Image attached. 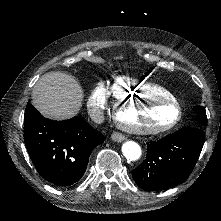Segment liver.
Instances as JSON below:
<instances>
[{"label":"liver","mask_w":221,"mask_h":221,"mask_svg":"<svg viewBox=\"0 0 221 221\" xmlns=\"http://www.w3.org/2000/svg\"><path fill=\"white\" fill-rule=\"evenodd\" d=\"M83 99L79 82L71 75L58 71L42 75L31 92L33 107L53 121H65L77 116Z\"/></svg>","instance_id":"obj_1"}]
</instances>
